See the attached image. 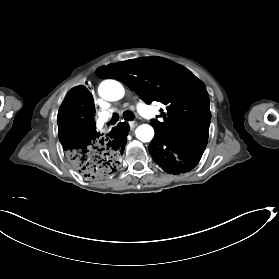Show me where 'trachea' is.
<instances>
[{"instance_id":"3493384b","label":"trachea","mask_w":279,"mask_h":279,"mask_svg":"<svg viewBox=\"0 0 279 279\" xmlns=\"http://www.w3.org/2000/svg\"><path fill=\"white\" fill-rule=\"evenodd\" d=\"M123 118L128 121H132L134 119V114L130 110H127L123 113ZM119 119L118 113H113L112 119L109 124H115Z\"/></svg>"}]
</instances>
